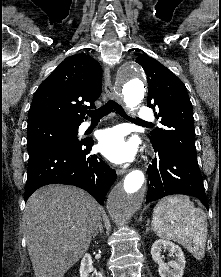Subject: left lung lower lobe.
<instances>
[{
	"label": "left lung lower lobe",
	"instance_id": "left-lung-lower-lobe-1",
	"mask_svg": "<svg viewBox=\"0 0 221 277\" xmlns=\"http://www.w3.org/2000/svg\"><path fill=\"white\" fill-rule=\"evenodd\" d=\"M154 150L156 157L148 167L150 185L146 203L167 195L184 194L199 198L209 209L198 163L171 148Z\"/></svg>",
	"mask_w": 221,
	"mask_h": 277
}]
</instances>
